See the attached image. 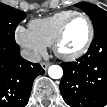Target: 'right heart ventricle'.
I'll return each instance as SVG.
<instances>
[{
  "label": "right heart ventricle",
  "instance_id": "1",
  "mask_svg": "<svg viewBox=\"0 0 107 107\" xmlns=\"http://www.w3.org/2000/svg\"><path fill=\"white\" fill-rule=\"evenodd\" d=\"M75 13L77 12L66 10L45 18L34 19L30 21L29 29L45 46H52L62 24Z\"/></svg>",
  "mask_w": 107,
  "mask_h": 107
}]
</instances>
